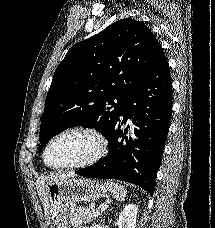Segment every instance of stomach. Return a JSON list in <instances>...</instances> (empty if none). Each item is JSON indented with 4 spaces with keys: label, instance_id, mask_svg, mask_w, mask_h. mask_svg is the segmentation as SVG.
Masks as SVG:
<instances>
[{
    "label": "stomach",
    "instance_id": "0dacf381",
    "mask_svg": "<svg viewBox=\"0 0 215 228\" xmlns=\"http://www.w3.org/2000/svg\"><path fill=\"white\" fill-rule=\"evenodd\" d=\"M108 190L99 180L64 178L47 186L50 228H69L67 204L96 202Z\"/></svg>",
    "mask_w": 215,
    "mask_h": 228
}]
</instances>
